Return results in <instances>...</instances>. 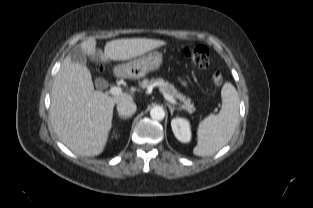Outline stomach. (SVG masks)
I'll return each mask as SVG.
<instances>
[{"label":"stomach","instance_id":"1","mask_svg":"<svg viewBox=\"0 0 313 208\" xmlns=\"http://www.w3.org/2000/svg\"><path fill=\"white\" fill-rule=\"evenodd\" d=\"M162 64V53L153 51L142 58L116 66L115 73L121 77L138 79L144 77L150 71L158 70Z\"/></svg>","mask_w":313,"mask_h":208}]
</instances>
